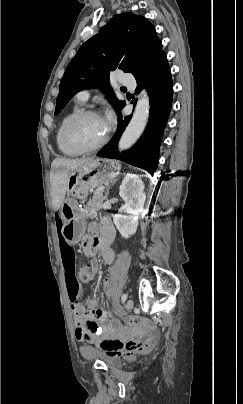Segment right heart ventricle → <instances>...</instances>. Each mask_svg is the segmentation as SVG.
<instances>
[{"mask_svg": "<svg viewBox=\"0 0 243 404\" xmlns=\"http://www.w3.org/2000/svg\"><path fill=\"white\" fill-rule=\"evenodd\" d=\"M82 105V102H80L79 100L76 101L71 108H69L60 118V121L55 129L54 132V141H55V145L58 149V151L64 155V156H69V157H77L80 156L83 152L67 145L61 136V131H62V127L65 123V121L76 111H78L80 109Z\"/></svg>", "mask_w": 243, "mask_h": 404, "instance_id": "obj_1", "label": "right heart ventricle"}]
</instances>
